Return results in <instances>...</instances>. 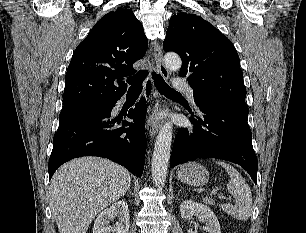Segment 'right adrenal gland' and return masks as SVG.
Instances as JSON below:
<instances>
[{
    "label": "right adrenal gland",
    "mask_w": 306,
    "mask_h": 233,
    "mask_svg": "<svg viewBox=\"0 0 306 233\" xmlns=\"http://www.w3.org/2000/svg\"><path fill=\"white\" fill-rule=\"evenodd\" d=\"M127 194H130V195H132V191H131V189L130 188H128V190H127V192H126Z\"/></svg>",
    "instance_id": "1"
}]
</instances>
